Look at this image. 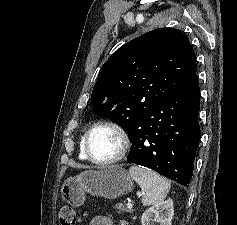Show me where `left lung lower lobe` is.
Masks as SVG:
<instances>
[{
	"instance_id": "left-lung-lower-lobe-1",
	"label": "left lung lower lobe",
	"mask_w": 237,
	"mask_h": 225,
	"mask_svg": "<svg viewBox=\"0 0 237 225\" xmlns=\"http://www.w3.org/2000/svg\"><path fill=\"white\" fill-rule=\"evenodd\" d=\"M199 102L196 84L156 104L127 132L132 143L127 162L188 186L200 140Z\"/></svg>"
}]
</instances>
